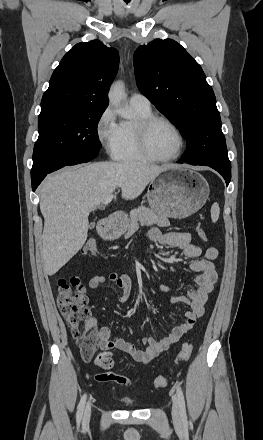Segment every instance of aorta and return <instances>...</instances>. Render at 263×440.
I'll list each match as a JSON object with an SVG mask.
<instances>
[{
    "instance_id": "obj_1",
    "label": "aorta",
    "mask_w": 263,
    "mask_h": 440,
    "mask_svg": "<svg viewBox=\"0 0 263 440\" xmlns=\"http://www.w3.org/2000/svg\"><path fill=\"white\" fill-rule=\"evenodd\" d=\"M109 102L117 109V113L124 119L130 120L133 118V112L129 109L123 108L122 103L126 99L125 86L122 81H117L112 84L108 93Z\"/></svg>"
}]
</instances>
